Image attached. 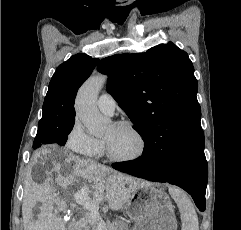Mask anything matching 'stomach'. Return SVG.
Masks as SVG:
<instances>
[{"label":"stomach","instance_id":"0dacf381","mask_svg":"<svg viewBox=\"0 0 241 230\" xmlns=\"http://www.w3.org/2000/svg\"><path fill=\"white\" fill-rule=\"evenodd\" d=\"M134 221L131 230H177V220L169 196L148 182H139L125 206Z\"/></svg>","mask_w":241,"mask_h":230}]
</instances>
